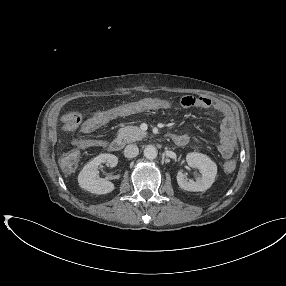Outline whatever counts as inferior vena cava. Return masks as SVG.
<instances>
[{
    "label": "inferior vena cava",
    "instance_id": "obj_1",
    "mask_svg": "<svg viewBox=\"0 0 286 286\" xmlns=\"http://www.w3.org/2000/svg\"><path fill=\"white\" fill-rule=\"evenodd\" d=\"M138 153H139V149L137 145L135 144L127 145L124 149V156L126 158H134L138 155Z\"/></svg>",
    "mask_w": 286,
    "mask_h": 286
}]
</instances>
